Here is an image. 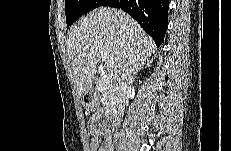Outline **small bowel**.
Returning a JSON list of instances; mask_svg holds the SVG:
<instances>
[{
    "instance_id": "1",
    "label": "small bowel",
    "mask_w": 231,
    "mask_h": 151,
    "mask_svg": "<svg viewBox=\"0 0 231 151\" xmlns=\"http://www.w3.org/2000/svg\"><path fill=\"white\" fill-rule=\"evenodd\" d=\"M102 118L99 113L93 114L89 120L88 127L90 133V150L91 151H112L110 142V133L106 128H99L97 123ZM105 138L102 143L101 137Z\"/></svg>"
}]
</instances>
